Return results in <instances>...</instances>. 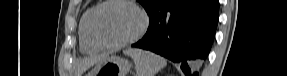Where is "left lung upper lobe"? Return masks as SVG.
<instances>
[{
    "mask_svg": "<svg viewBox=\"0 0 287 76\" xmlns=\"http://www.w3.org/2000/svg\"><path fill=\"white\" fill-rule=\"evenodd\" d=\"M145 8L148 15L152 13L159 5L163 4L166 0H137Z\"/></svg>",
    "mask_w": 287,
    "mask_h": 76,
    "instance_id": "obj_1",
    "label": "left lung upper lobe"
}]
</instances>
